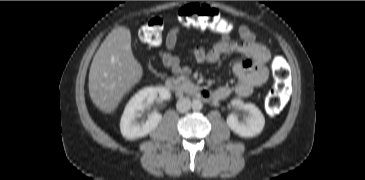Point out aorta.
Returning <instances> with one entry per match:
<instances>
[{"mask_svg": "<svg viewBox=\"0 0 365 180\" xmlns=\"http://www.w3.org/2000/svg\"><path fill=\"white\" fill-rule=\"evenodd\" d=\"M191 107L194 111H199L202 109L203 104H202L201 100L195 99L192 101Z\"/></svg>", "mask_w": 365, "mask_h": 180, "instance_id": "aorta-1", "label": "aorta"}]
</instances>
